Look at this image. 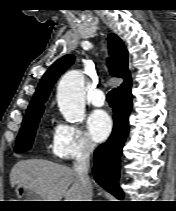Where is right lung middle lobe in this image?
I'll list each match as a JSON object with an SVG mask.
<instances>
[{"label":"right lung middle lobe","mask_w":176,"mask_h":211,"mask_svg":"<svg viewBox=\"0 0 176 211\" xmlns=\"http://www.w3.org/2000/svg\"><path fill=\"white\" fill-rule=\"evenodd\" d=\"M42 112L24 117L14 151L24 152L31 148Z\"/></svg>","instance_id":"right-lung-middle-lobe-1"}]
</instances>
